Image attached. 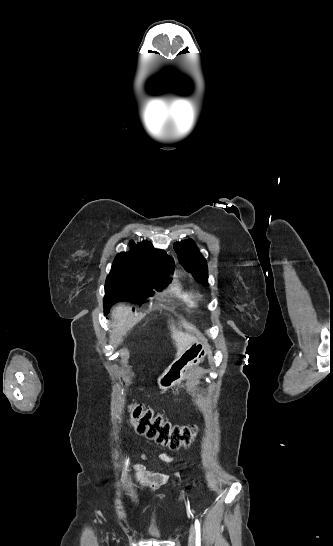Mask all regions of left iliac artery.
<instances>
[{
  "label": "left iliac artery",
  "instance_id": "obj_1",
  "mask_svg": "<svg viewBox=\"0 0 333 546\" xmlns=\"http://www.w3.org/2000/svg\"><path fill=\"white\" fill-rule=\"evenodd\" d=\"M195 530H196V546H200L201 534H200V523L198 519L195 520Z\"/></svg>",
  "mask_w": 333,
  "mask_h": 546
}]
</instances>
